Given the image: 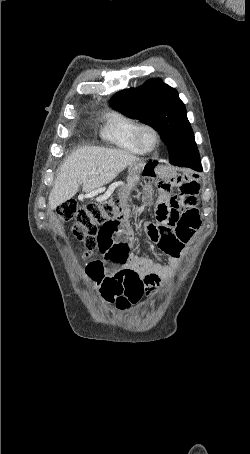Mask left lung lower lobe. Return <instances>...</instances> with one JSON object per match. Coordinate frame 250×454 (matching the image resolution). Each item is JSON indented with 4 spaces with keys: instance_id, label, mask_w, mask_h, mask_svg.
<instances>
[{
    "instance_id": "obj_1",
    "label": "left lung lower lobe",
    "mask_w": 250,
    "mask_h": 454,
    "mask_svg": "<svg viewBox=\"0 0 250 454\" xmlns=\"http://www.w3.org/2000/svg\"><path fill=\"white\" fill-rule=\"evenodd\" d=\"M169 162L175 166L189 167L197 171L202 170L200 157L195 154L173 155Z\"/></svg>"
}]
</instances>
